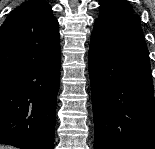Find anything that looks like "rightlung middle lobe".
I'll return each mask as SVG.
<instances>
[{
	"label": "right lung middle lobe",
	"mask_w": 155,
	"mask_h": 149,
	"mask_svg": "<svg viewBox=\"0 0 155 149\" xmlns=\"http://www.w3.org/2000/svg\"><path fill=\"white\" fill-rule=\"evenodd\" d=\"M12 77H13V75H0V82H3V81L10 79Z\"/></svg>",
	"instance_id": "dd1d6c3e"
}]
</instances>
